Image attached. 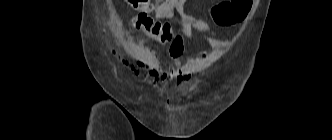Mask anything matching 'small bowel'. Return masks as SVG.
Wrapping results in <instances>:
<instances>
[{
  "label": "small bowel",
  "mask_w": 332,
  "mask_h": 140,
  "mask_svg": "<svg viewBox=\"0 0 332 140\" xmlns=\"http://www.w3.org/2000/svg\"><path fill=\"white\" fill-rule=\"evenodd\" d=\"M186 4L187 0H167L155 10L158 19H168L175 11L180 19V30L169 37H152L161 44H170L171 65L163 67L157 60L150 61L147 65L148 75L154 82L160 84L173 82L174 89L184 86L188 80V68L182 58L194 32H197L212 47L221 48L226 44L218 38V33L207 22L189 13ZM151 10L145 9L144 11L150 12Z\"/></svg>",
  "instance_id": "c3829d8e"
}]
</instances>
